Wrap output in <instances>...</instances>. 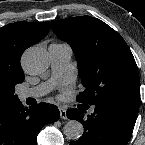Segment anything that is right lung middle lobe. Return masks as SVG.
Returning a JSON list of instances; mask_svg holds the SVG:
<instances>
[{
    "label": "right lung middle lobe",
    "instance_id": "1",
    "mask_svg": "<svg viewBox=\"0 0 145 145\" xmlns=\"http://www.w3.org/2000/svg\"><path fill=\"white\" fill-rule=\"evenodd\" d=\"M14 100H18V97H15V99Z\"/></svg>",
    "mask_w": 145,
    "mask_h": 145
}]
</instances>
